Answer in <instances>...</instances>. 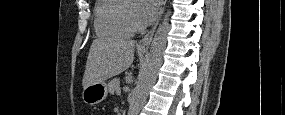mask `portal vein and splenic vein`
<instances>
[{
	"mask_svg": "<svg viewBox=\"0 0 285 115\" xmlns=\"http://www.w3.org/2000/svg\"><path fill=\"white\" fill-rule=\"evenodd\" d=\"M117 92H118V93L120 92V88H118Z\"/></svg>",
	"mask_w": 285,
	"mask_h": 115,
	"instance_id": "1",
	"label": "portal vein and splenic vein"
}]
</instances>
